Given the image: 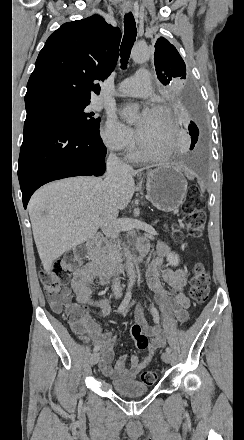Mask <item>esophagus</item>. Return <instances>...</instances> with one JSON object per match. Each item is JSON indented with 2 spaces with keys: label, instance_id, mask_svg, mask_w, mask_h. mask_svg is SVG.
Returning <instances> with one entry per match:
<instances>
[{
  "label": "esophagus",
  "instance_id": "obj_1",
  "mask_svg": "<svg viewBox=\"0 0 244 440\" xmlns=\"http://www.w3.org/2000/svg\"><path fill=\"white\" fill-rule=\"evenodd\" d=\"M130 8L129 7H122V11L123 12H129Z\"/></svg>",
  "mask_w": 244,
  "mask_h": 440
}]
</instances>
